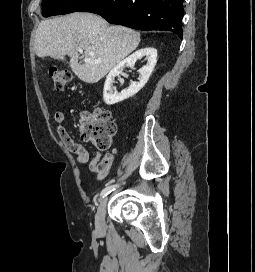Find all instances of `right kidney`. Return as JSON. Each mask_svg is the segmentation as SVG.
Returning <instances> with one entry per match:
<instances>
[{
    "instance_id": "obj_1",
    "label": "right kidney",
    "mask_w": 255,
    "mask_h": 272,
    "mask_svg": "<svg viewBox=\"0 0 255 272\" xmlns=\"http://www.w3.org/2000/svg\"><path fill=\"white\" fill-rule=\"evenodd\" d=\"M142 57H146L147 64L140 70L139 82H132L128 89L120 93L113 92V82L115 77L119 76L125 67H134L135 62ZM157 62V50L152 47H146L137 50L129 57L118 63L108 74L103 90V99L107 105H113L135 95L147 83Z\"/></svg>"
}]
</instances>
